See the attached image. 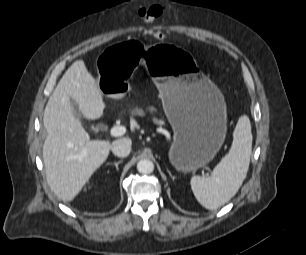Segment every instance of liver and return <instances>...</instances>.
<instances>
[{
  "label": "liver",
  "instance_id": "6515ba94",
  "mask_svg": "<svg viewBox=\"0 0 306 255\" xmlns=\"http://www.w3.org/2000/svg\"><path fill=\"white\" fill-rule=\"evenodd\" d=\"M72 100L89 120L100 118L106 107L98 84L83 60L75 61L62 76L43 117L47 132L43 145L47 182L57 197L66 202L79 194L106 161L115 142L90 140L75 115Z\"/></svg>",
  "mask_w": 306,
  "mask_h": 255
}]
</instances>
